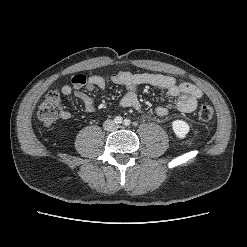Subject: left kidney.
<instances>
[{
	"label": "left kidney",
	"mask_w": 247,
	"mask_h": 247,
	"mask_svg": "<svg viewBox=\"0 0 247 247\" xmlns=\"http://www.w3.org/2000/svg\"><path fill=\"white\" fill-rule=\"evenodd\" d=\"M172 128L175 135L179 139H184L189 132V125L183 120H174L172 122Z\"/></svg>",
	"instance_id": "1"
}]
</instances>
